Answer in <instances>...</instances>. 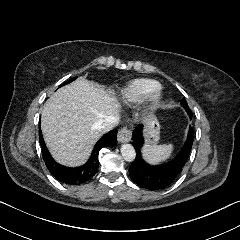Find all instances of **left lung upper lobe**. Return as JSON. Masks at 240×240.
<instances>
[{
    "instance_id": "5c2ea615",
    "label": "left lung upper lobe",
    "mask_w": 240,
    "mask_h": 240,
    "mask_svg": "<svg viewBox=\"0 0 240 240\" xmlns=\"http://www.w3.org/2000/svg\"><path fill=\"white\" fill-rule=\"evenodd\" d=\"M181 104H182V106L185 108V110L187 111V113L189 114V117H192V112L190 111V109H189V107H188V104H187V102H186L185 99H183V100L181 101Z\"/></svg>"
}]
</instances>
